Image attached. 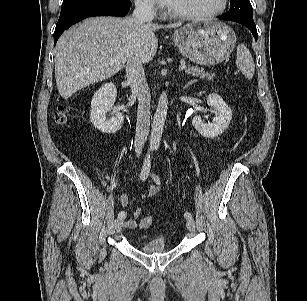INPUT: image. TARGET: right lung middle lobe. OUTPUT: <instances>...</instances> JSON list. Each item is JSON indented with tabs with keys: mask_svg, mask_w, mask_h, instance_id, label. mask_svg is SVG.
I'll list each match as a JSON object with an SVG mask.
<instances>
[{
	"mask_svg": "<svg viewBox=\"0 0 307 301\" xmlns=\"http://www.w3.org/2000/svg\"><path fill=\"white\" fill-rule=\"evenodd\" d=\"M85 1H89V0H63L62 8L68 7V6H71V5H75V4H78V3H81V2H85Z\"/></svg>",
	"mask_w": 307,
	"mask_h": 301,
	"instance_id": "dd1d6c3e",
	"label": "right lung middle lobe"
}]
</instances>
